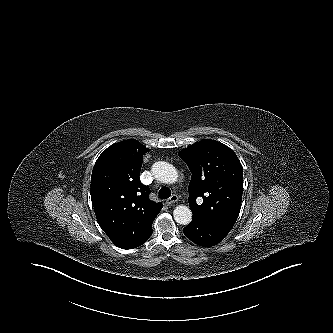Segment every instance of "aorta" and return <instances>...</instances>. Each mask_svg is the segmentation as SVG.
<instances>
[{
	"mask_svg": "<svg viewBox=\"0 0 333 333\" xmlns=\"http://www.w3.org/2000/svg\"><path fill=\"white\" fill-rule=\"evenodd\" d=\"M151 171L154 177L163 183H174L178 177L176 168L165 161L155 162ZM173 216L174 220L182 225H187L192 220V212L185 205H178L173 211Z\"/></svg>",
	"mask_w": 333,
	"mask_h": 333,
	"instance_id": "1",
	"label": "aorta"
}]
</instances>
